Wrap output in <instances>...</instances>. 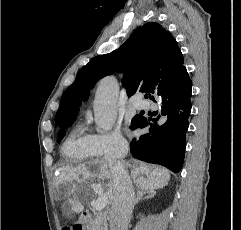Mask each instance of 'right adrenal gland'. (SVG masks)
Masks as SVG:
<instances>
[{
    "instance_id": "1",
    "label": "right adrenal gland",
    "mask_w": 241,
    "mask_h": 230,
    "mask_svg": "<svg viewBox=\"0 0 241 230\" xmlns=\"http://www.w3.org/2000/svg\"><path fill=\"white\" fill-rule=\"evenodd\" d=\"M137 196H136V199H135V204H138L140 200L142 199H149V198H152L154 197L155 195V192L154 191H144V190H141L140 188L137 190Z\"/></svg>"
}]
</instances>
